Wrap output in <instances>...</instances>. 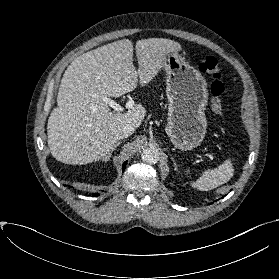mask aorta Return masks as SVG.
<instances>
[{
  "label": "aorta",
  "mask_w": 279,
  "mask_h": 279,
  "mask_svg": "<svg viewBox=\"0 0 279 279\" xmlns=\"http://www.w3.org/2000/svg\"><path fill=\"white\" fill-rule=\"evenodd\" d=\"M141 158L145 163L155 164L159 160V152L153 147H149L143 150Z\"/></svg>",
  "instance_id": "1"
}]
</instances>
